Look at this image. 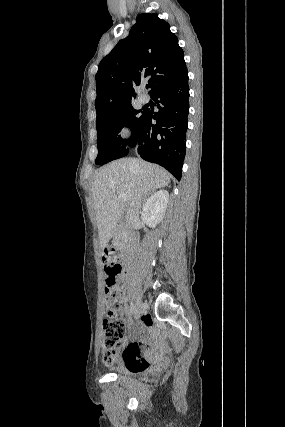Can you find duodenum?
I'll use <instances>...</instances> for the list:
<instances>
[{
  "instance_id": "duodenum-1",
  "label": "duodenum",
  "mask_w": 285,
  "mask_h": 427,
  "mask_svg": "<svg viewBox=\"0 0 285 427\" xmlns=\"http://www.w3.org/2000/svg\"><path fill=\"white\" fill-rule=\"evenodd\" d=\"M134 223H135L134 217H127V218L116 219L112 225L114 230H119L122 232V237L125 241V248H124L125 258H128L135 248L133 238L131 236Z\"/></svg>"
}]
</instances>
